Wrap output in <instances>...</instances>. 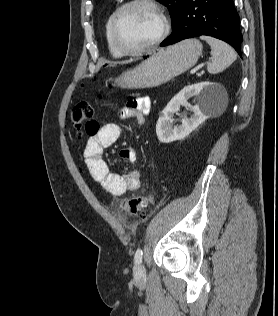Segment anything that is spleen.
Wrapping results in <instances>:
<instances>
[{"label":"spleen","mask_w":278,"mask_h":316,"mask_svg":"<svg viewBox=\"0 0 278 316\" xmlns=\"http://www.w3.org/2000/svg\"><path fill=\"white\" fill-rule=\"evenodd\" d=\"M211 47L212 61L207 64L209 73H218L231 65L237 58L234 49L227 43L209 36H201Z\"/></svg>","instance_id":"3e777b00"}]
</instances>
